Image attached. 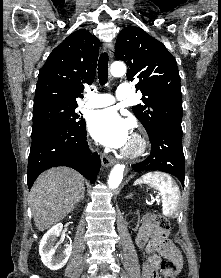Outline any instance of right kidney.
I'll use <instances>...</instances> for the list:
<instances>
[{
	"label": "right kidney",
	"instance_id": "ca27d5eb",
	"mask_svg": "<svg viewBox=\"0 0 221 278\" xmlns=\"http://www.w3.org/2000/svg\"><path fill=\"white\" fill-rule=\"evenodd\" d=\"M63 225L61 223L52 227L47 233L43 236L39 245V254L43 264L50 270H59L67 263L71 251L72 244L70 243L62 251H57V238L59 237Z\"/></svg>",
	"mask_w": 221,
	"mask_h": 278
}]
</instances>
